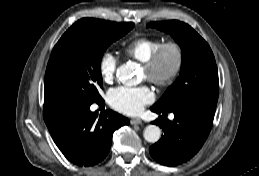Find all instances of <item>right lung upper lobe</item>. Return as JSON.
I'll use <instances>...</instances> for the list:
<instances>
[{"label": "right lung upper lobe", "instance_id": "cb5924a9", "mask_svg": "<svg viewBox=\"0 0 259 176\" xmlns=\"http://www.w3.org/2000/svg\"><path fill=\"white\" fill-rule=\"evenodd\" d=\"M60 100L56 95L54 88L52 87L49 80L45 77L44 81V106H49L56 101Z\"/></svg>", "mask_w": 259, "mask_h": 176}]
</instances>
